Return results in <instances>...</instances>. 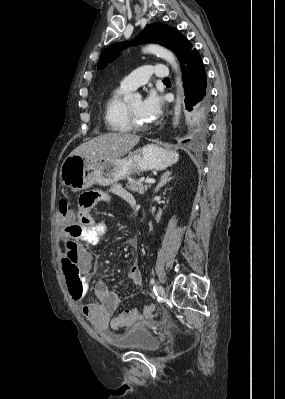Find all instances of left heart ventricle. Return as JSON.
Here are the masks:
<instances>
[{"label": "left heart ventricle", "mask_w": 285, "mask_h": 399, "mask_svg": "<svg viewBox=\"0 0 285 399\" xmlns=\"http://www.w3.org/2000/svg\"><path fill=\"white\" fill-rule=\"evenodd\" d=\"M129 106L134 113L136 119L141 123H147L148 121L141 114V101L135 100L129 103Z\"/></svg>", "instance_id": "left-heart-ventricle-1"}]
</instances>
